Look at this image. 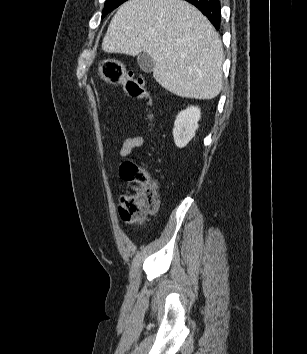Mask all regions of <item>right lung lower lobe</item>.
I'll return each instance as SVG.
<instances>
[{
  "mask_svg": "<svg viewBox=\"0 0 307 354\" xmlns=\"http://www.w3.org/2000/svg\"><path fill=\"white\" fill-rule=\"evenodd\" d=\"M196 6L215 26L220 28L221 6L219 0H186Z\"/></svg>",
  "mask_w": 307,
  "mask_h": 354,
  "instance_id": "right-lung-lower-lobe-1",
  "label": "right lung lower lobe"
}]
</instances>
